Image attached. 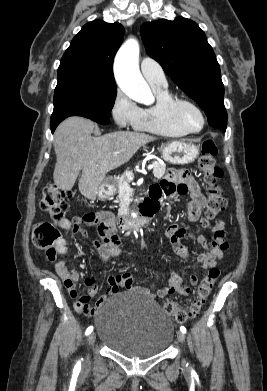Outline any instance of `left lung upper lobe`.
Returning <instances> with one entry per match:
<instances>
[{
	"label": "left lung upper lobe",
	"mask_w": 267,
	"mask_h": 391,
	"mask_svg": "<svg viewBox=\"0 0 267 391\" xmlns=\"http://www.w3.org/2000/svg\"><path fill=\"white\" fill-rule=\"evenodd\" d=\"M140 33L148 55L199 104L211 126L225 131L227 113L220 67L198 25L183 17L161 19L144 23Z\"/></svg>",
	"instance_id": "obj_1"
}]
</instances>
